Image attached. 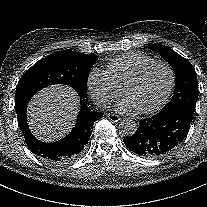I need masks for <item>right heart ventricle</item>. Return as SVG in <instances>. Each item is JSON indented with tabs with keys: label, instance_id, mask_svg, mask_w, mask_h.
<instances>
[{
	"label": "right heart ventricle",
	"instance_id": "e07e8e85",
	"mask_svg": "<svg viewBox=\"0 0 207 207\" xmlns=\"http://www.w3.org/2000/svg\"><path fill=\"white\" fill-rule=\"evenodd\" d=\"M153 60L152 57L142 53H126L112 60L108 65L106 74L113 86L119 90L141 67Z\"/></svg>",
	"mask_w": 207,
	"mask_h": 207
}]
</instances>
